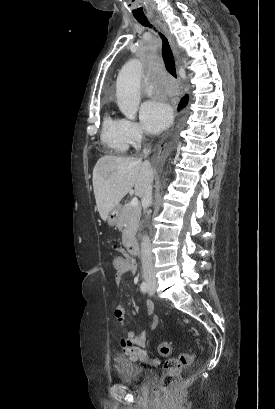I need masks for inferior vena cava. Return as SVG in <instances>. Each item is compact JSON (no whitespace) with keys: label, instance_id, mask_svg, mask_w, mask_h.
Listing matches in <instances>:
<instances>
[{"label":"inferior vena cava","instance_id":"obj_1","mask_svg":"<svg viewBox=\"0 0 275 409\" xmlns=\"http://www.w3.org/2000/svg\"><path fill=\"white\" fill-rule=\"evenodd\" d=\"M144 152H149L147 148H144ZM143 202H145L146 207H149L152 202V184H147L146 190L144 192V196L142 198ZM141 261H142V269H143V277L145 281H153L156 283V277L154 273V267L152 263V251L150 245L149 237H143L141 243Z\"/></svg>","mask_w":275,"mask_h":409}]
</instances>
